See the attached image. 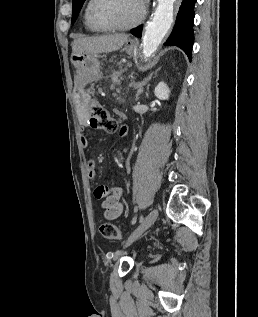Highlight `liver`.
<instances>
[{"label":"liver","mask_w":258,"mask_h":317,"mask_svg":"<svg viewBox=\"0 0 258 317\" xmlns=\"http://www.w3.org/2000/svg\"><path fill=\"white\" fill-rule=\"evenodd\" d=\"M130 34H103V36H81V38H74L72 42V54L86 50V52H112L118 50L123 46L125 40H128Z\"/></svg>","instance_id":"6515ba94"}]
</instances>
